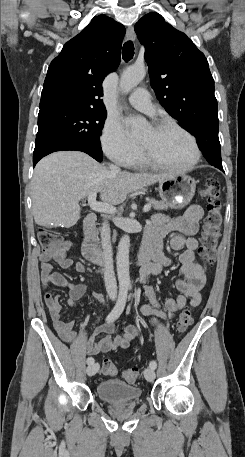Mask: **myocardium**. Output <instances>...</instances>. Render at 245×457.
Instances as JSON below:
<instances>
[{"instance_id": "myocardium-1", "label": "myocardium", "mask_w": 245, "mask_h": 457, "mask_svg": "<svg viewBox=\"0 0 245 457\" xmlns=\"http://www.w3.org/2000/svg\"><path fill=\"white\" fill-rule=\"evenodd\" d=\"M152 128L155 131H163L165 129L173 128V129H177L180 132H182L190 140V143H191L190 146H191V150L193 153V157H192L191 162L185 166H181V167L168 166V165H165L164 163L160 162L159 160L147 155L144 152V150L142 149V147L137 144V153L139 155V158L142 160V162H144L146 165H148L152 168L159 169V170H166V171H170V172H187V171L192 170L195 167V165L198 163L199 158H200V151H199L195 137L188 130H186L185 128L180 126L178 123H176L172 120H169V119H163V120L156 122L155 124L152 125Z\"/></svg>"}]
</instances>
